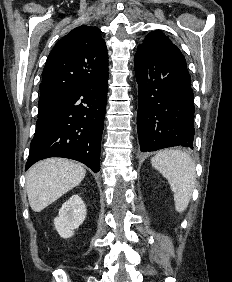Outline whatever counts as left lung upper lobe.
Here are the masks:
<instances>
[{
    "label": "left lung upper lobe",
    "mask_w": 232,
    "mask_h": 282,
    "mask_svg": "<svg viewBox=\"0 0 232 282\" xmlns=\"http://www.w3.org/2000/svg\"><path fill=\"white\" fill-rule=\"evenodd\" d=\"M164 43H172L171 40L160 31H154L147 35L141 45L156 47Z\"/></svg>",
    "instance_id": "5c2ea615"
}]
</instances>
